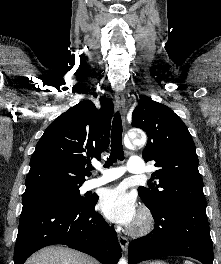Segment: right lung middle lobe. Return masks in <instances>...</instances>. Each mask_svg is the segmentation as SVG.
<instances>
[{"label": "right lung middle lobe", "mask_w": 221, "mask_h": 264, "mask_svg": "<svg viewBox=\"0 0 221 264\" xmlns=\"http://www.w3.org/2000/svg\"><path fill=\"white\" fill-rule=\"evenodd\" d=\"M82 183L54 182L26 189L23 204L29 202H52L60 205H82L92 197H82Z\"/></svg>", "instance_id": "right-lung-middle-lobe-1"}]
</instances>
